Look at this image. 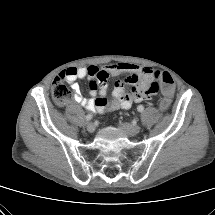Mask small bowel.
I'll use <instances>...</instances> for the list:
<instances>
[{"label": "small bowel", "instance_id": "1", "mask_svg": "<svg viewBox=\"0 0 215 215\" xmlns=\"http://www.w3.org/2000/svg\"><path fill=\"white\" fill-rule=\"evenodd\" d=\"M129 74L125 82H117L112 97H106L108 91V77ZM73 92V100L85 107L88 111L104 113L116 109H129L134 103L143 102L152 98L155 93L146 95L145 92L153 84V70L135 63L120 62L104 67L90 65L87 67H69L60 73ZM87 78L90 85V98L81 94L79 79ZM125 84L131 85L129 90Z\"/></svg>", "mask_w": 215, "mask_h": 215}]
</instances>
